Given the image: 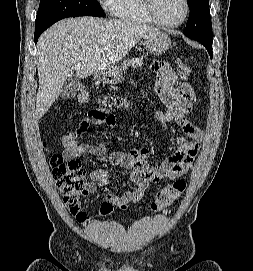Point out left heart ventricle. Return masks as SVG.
Returning <instances> with one entry per match:
<instances>
[{"label": "left heart ventricle", "instance_id": "left-heart-ventricle-1", "mask_svg": "<svg viewBox=\"0 0 253 271\" xmlns=\"http://www.w3.org/2000/svg\"><path fill=\"white\" fill-rule=\"evenodd\" d=\"M155 8L159 17L167 23H177L184 15L183 0H155Z\"/></svg>", "mask_w": 253, "mask_h": 271}]
</instances>
